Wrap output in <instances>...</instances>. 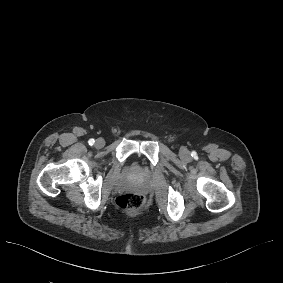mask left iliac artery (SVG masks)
<instances>
[{"instance_id": "1", "label": "left iliac artery", "mask_w": 283, "mask_h": 283, "mask_svg": "<svg viewBox=\"0 0 283 283\" xmlns=\"http://www.w3.org/2000/svg\"><path fill=\"white\" fill-rule=\"evenodd\" d=\"M194 153H195V152H192V154H191L192 157L194 156Z\"/></svg>"}]
</instances>
